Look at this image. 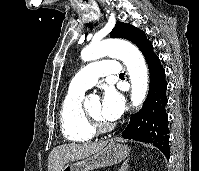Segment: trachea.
<instances>
[{"label":"trachea","mask_w":199,"mask_h":171,"mask_svg":"<svg viewBox=\"0 0 199 171\" xmlns=\"http://www.w3.org/2000/svg\"><path fill=\"white\" fill-rule=\"evenodd\" d=\"M119 77H124V73H121V74L119 75Z\"/></svg>","instance_id":"trachea-1"}]
</instances>
